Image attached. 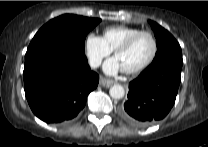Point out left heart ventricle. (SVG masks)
I'll list each match as a JSON object with an SVG mask.
<instances>
[{
    "instance_id": "b2bd125f",
    "label": "left heart ventricle",
    "mask_w": 208,
    "mask_h": 147,
    "mask_svg": "<svg viewBox=\"0 0 208 147\" xmlns=\"http://www.w3.org/2000/svg\"><path fill=\"white\" fill-rule=\"evenodd\" d=\"M153 51V42L147 35L140 36L129 49L118 53L115 57L122 69L135 68L144 63Z\"/></svg>"
}]
</instances>
